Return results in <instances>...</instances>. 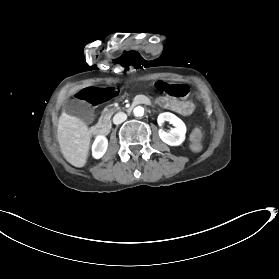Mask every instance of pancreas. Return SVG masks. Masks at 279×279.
<instances>
[{"mask_svg":"<svg viewBox=\"0 0 279 279\" xmlns=\"http://www.w3.org/2000/svg\"><path fill=\"white\" fill-rule=\"evenodd\" d=\"M118 110L116 107H106L104 108L102 115L99 120L106 119L109 120L111 116Z\"/></svg>","mask_w":279,"mask_h":279,"instance_id":"1","label":"pancreas"}]
</instances>
